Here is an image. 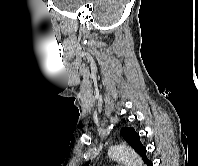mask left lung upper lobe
Returning a JSON list of instances; mask_svg holds the SVG:
<instances>
[{
	"label": "left lung upper lobe",
	"mask_w": 198,
	"mask_h": 166,
	"mask_svg": "<svg viewBox=\"0 0 198 166\" xmlns=\"http://www.w3.org/2000/svg\"><path fill=\"white\" fill-rule=\"evenodd\" d=\"M121 135L124 140L130 144L133 149L142 157L145 162L148 158L146 156V147H144L140 141V136L135 132L134 128H121ZM84 166H89V162H87Z\"/></svg>",
	"instance_id": "5c2ea615"
}]
</instances>
